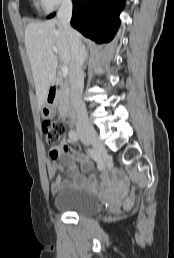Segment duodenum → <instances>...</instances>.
<instances>
[{"label": "duodenum", "instance_id": "410a0bca", "mask_svg": "<svg viewBox=\"0 0 174 258\" xmlns=\"http://www.w3.org/2000/svg\"><path fill=\"white\" fill-rule=\"evenodd\" d=\"M65 86L56 84L50 87L48 91V99L52 105L56 104L58 99L64 94ZM64 119L67 123H74L76 119V111L72 106H68L64 110Z\"/></svg>", "mask_w": 174, "mask_h": 258}]
</instances>
